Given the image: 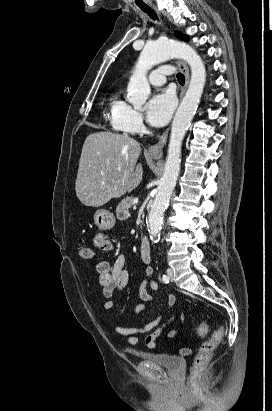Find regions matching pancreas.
Here are the masks:
<instances>
[{"label": "pancreas", "mask_w": 272, "mask_h": 411, "mask_svg": "<svg viewBox=\"0 0 272 411\" xmlns=\"http://www.w3.org/2000/svg\"><path fill=\"white\" fill-rule=\"evenodd\" d=\"M133 205V197H127L123 199L117 206L116 208V213L117 215H120L124 213L125 211H128L129 208Z\"/></svg>", "instance_id": "cf45deb5"}]
</instances>
